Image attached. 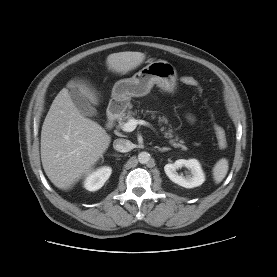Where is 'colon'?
Here are the masks:
<instances>
[{
  "label": "colon",
  "mask_w": 277,
  "mask_h": 277,
  "mask_svg": "<svg viewBox=\"0 0 277 277\" xmlns=\"http://www.w3.org/2000/svg\"><path fill=\"white\" fill-rule=\"evenodd\" d=\"M181 81L186 85L197 87L198 89H200L197 80L191 76H183L181 78ZM210 116L217 145L221 150H225L228 146V137L226 131L219 123L215 121L212 113L210 114Z\"/></svg>",
  "instance_id": "5ec220e1"
}]
</instances>
